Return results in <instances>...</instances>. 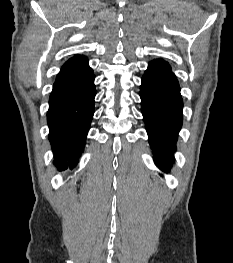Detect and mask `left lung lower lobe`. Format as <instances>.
<instances>
[{"label":"left lung lower lobe","mask_w":233,"mask_h":263,"mask_svg":"<svg viewBox=\"0 0 233 263\" xmlns=\"http://www.w3.org/2000/svg\"><path fill=\"white\" fill-rule=\"evenodd\" d=\"M141 110L155 164L169 172L182 126L183 100L176 76L161 59L149 63L140 87Z\"/></svg>","instance_id":"1"}]
</instances>
